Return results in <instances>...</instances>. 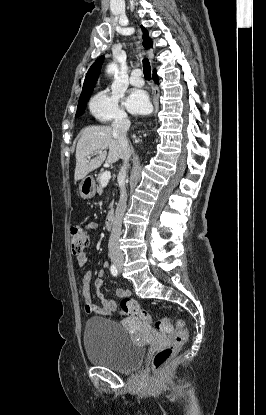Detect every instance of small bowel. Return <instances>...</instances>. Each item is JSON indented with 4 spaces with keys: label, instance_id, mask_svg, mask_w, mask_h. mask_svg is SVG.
I'll list each match as a JSON object with an SVG mask.
<instances>
[{
    "label": "small bowel",
    "instance_id": "c3829d8e",
    "mask_svg": "<svg viewBox=\"0 0 266 415\" xmlns=\"http://www.w3.org/2000/svg\"><path fill=\"white\" fill-rule=\"evenodd\" d=\"M87 228L96 231L98 224L91 222L87 225ZM78 267H84L88 262V257L85 253L77 255L76 259ZM108 268V263H103V268L99 270L98 277L96 278L94 285L98 293V297L101 301L100 306L92 304V294H91V281L92 273L90 271L84 272L82 276V297L84 301V309L87 314H96L100 316H109L115 312L117 307V300L126 298L130 296L128 290L117 289L116 290V299L106 298L105 295L101 292V287L103 285V278L105 276V269Z\"/></svg>",
    "mask_w": 266,
    "mask_h": 415
}]
</instances>
